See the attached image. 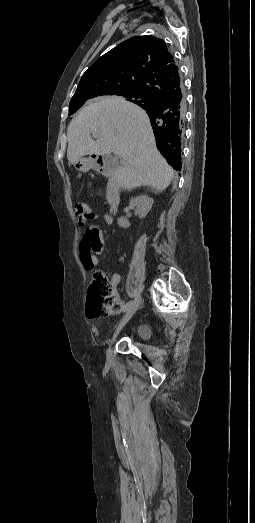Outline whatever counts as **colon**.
Masks as SVG:
<instances>
[{
  "instance_id": "obj_1",
  "label": "colon",
  "mask_w": 255,
  "mask_h": 523,
  "mask_svg": "<svg viewBox=\"0 0 255 523\" xmlns=\"http://www.w3.org/2000/svg\"><path fill=\"white\" fill-rule=\"evenodd\" d=\"M75 213L80 224L85 225L93 218L91 207L86 203L75 205ZM121 302L106 274L97 270L93 273L87 296V315L90 318L106 316L117 312Z\"/></svg>"
}]
</instances>
